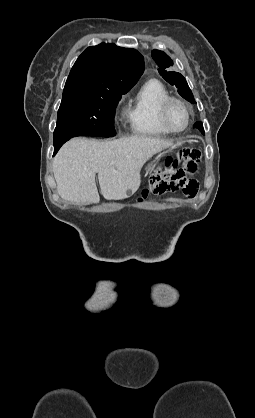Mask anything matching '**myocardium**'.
Masks as SVG:
<instances>
[{"mask_svg": "<svg viewBox=\"0 0 255 418\" xmlns=\"http://www.w3.org/2000/svg\"><path fill=\"white\" fill-rule=\"evenodd\" d=\"M173 103H178L182 105L187 112V122L182 129H175L169 124L168 112H169L170 106ZM191 119H192L191 107L183 99L175 97V96H168L162 101L160 105V109H159V120H160V123L163 125V127L166 128L170 133H181L185 131L190 125Z\"/></svg>", "mask_w": 255, "mask_h": 418, "instance_id": "obj_1", "label": "myocardium"}]
</instances>
